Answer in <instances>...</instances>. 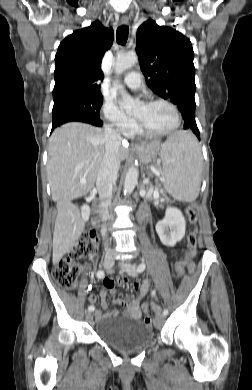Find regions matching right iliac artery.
Returning a JSON list of instances; mask_svg holds the SVG:
<instances>
[{"mask_svg": "<svg viewBox=\"0 0 252 390\" xmlns=\"http://www.w3.org/2000/svg\"><path fill=\"white\" fill-rule=\"evenodd\" d=\"M97 277L99 278V279H102V278H104V276H105V274H104V271L103 270H99L98 272H97ZM94 306H89L88 307V310L90 311V312H92V311H94Z\"/></svg>", "mask_w": 252, "mask_h": 390, "instance_id": "1", "label": "right iliac artery"}]
</instances>
